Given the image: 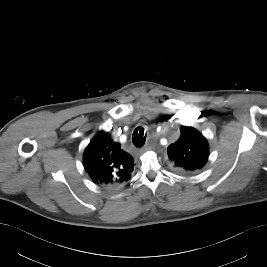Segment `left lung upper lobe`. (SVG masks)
Wrapping results in <instances>:
<instances>
[{
	"mask_svg": "<svg viewBox=\"0 0 267 267\" xmlns=\"http://www.w3.org/2000/svg\"><path fill=\"white\" fill-rule=\"evenodd\" d=\"M179 139L168 147L169 158L181 174H195L202 170L209 156L207 141L195 128L180 127Z\"/></svg>",
	"mask_w": 267,
	"mask_h": 267,
	"instance_id": "5c2ea615",
	"label": "left lung upper lobe"
}]
</instances>
